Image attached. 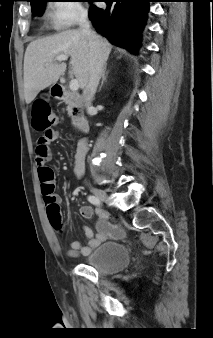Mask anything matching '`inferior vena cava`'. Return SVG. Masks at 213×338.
I'll return each instance as SVG.
<instances>
[{
	"label": "inferior vena cava",
	"instance_id": "obj_1",
	"mask_svg": "<svg viewBox=\"0 0 213 338\" xmlns=\"http://www.w3.org/2000/svg\"><path fill=\"white\" fill-rule=\"evenodd\" d=\"M79 25L82 34L88 39L90 48L89 79L83 90L85 106L90 107L107 60V55L103 52L98 36L91 30L87 13L82 14Z\"/></svg>",
	"mask_w": 213,
	"mask_h": 338
}]
</instances>
